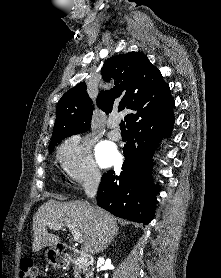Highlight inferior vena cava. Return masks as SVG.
<instances>
[{"label":"inferior vena cava","mask_w":221,"mask_h":278,"mask_svg":"<svg viewBox=\"0 0 221 278\" xmlns=\"http://www.w3.org/2000/svg\"><path fill=\"white\" fill-rule=\"evenodd\" d=\"M101 180V174L97 170H93L89 179L85 183V194L89 198L95 197Z\"/></svg>","instance_id":"inferior-vena-cava-1"}]
</instances>
